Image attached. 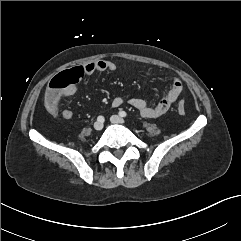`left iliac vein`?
I'll list each match as a JSON object with an SVG mask.
<instances>
[{
  "label": "left iliac vein",
  "instance_id": "obj_1",
  "mask_svg": "<svg viewBox=\"0 0 241 241\" xmlns=\"http://www.w3.org/2000/svg\"><path fill=\"white\" fill-rule=\"evenodd\" d=\"M110 121L113 123V124H124L125 121L123 118H121L120 116L118 115H112L110 117Z\"/></svg>",
  "mask_w": 241,
  "mask_h": 241
}]
</instances>
